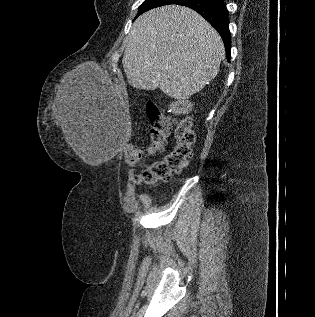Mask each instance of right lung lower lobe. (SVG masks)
<instances>
[{"mask_svg":"<svg viewBox=\"0 0 315 317\" xmlns=\"http://www.w3.org/2000/svg\"><path fill=\"white\" fill-rule=\"evenodd\" d=\"M174 4L194 9L204 17L221 35L230 61L231 37L229 32L228 11L223 0H179Z\"/></svg>","mask_w":315,"mask_h":317,"instance_id":"1","label":"right lung lower lobe"}]
</instances>
